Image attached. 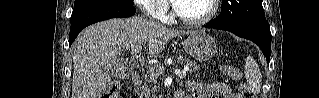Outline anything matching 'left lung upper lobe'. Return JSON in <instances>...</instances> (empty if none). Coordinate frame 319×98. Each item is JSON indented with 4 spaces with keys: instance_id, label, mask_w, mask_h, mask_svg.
I'll return each instance as SVG.
<instances>
[{
    "instance_id": "left-lung-upper-lobe-1",
    "label": "left lung upper lobe",
    "mask_w": 319,
    "mask_h": 98,
    "mask_svg": "<svg viewBox=\"0 0 319 98\" xmlns=\"http://www.w3.org/2000/svg\"><path fill=\"white\" fill-rule=\"evenodd\" d=\"M209 24L217 27H243L266 23L261 0H222L221 13Z\"/></svg>"
}]
</instances>
